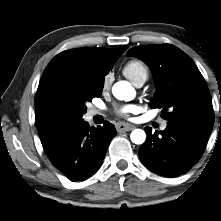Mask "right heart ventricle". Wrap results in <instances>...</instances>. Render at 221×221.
<instances>
[{
  "instance_id": "e07e8e85",
  "label": "right heart ventricle",
  "mask_w": 221,
  "mask_h": 221,
  "mask_svg": "<svg viewBox=\"0 0 221 221\" xmlns=\"http://www.w3.org/2000/svg\"><path fill=\"white\" fill-rule=\"evenodd\" d=\"M124 75L131 80L133 84L137 81L148 78L147 66L138 60H131L123 67Z\"/></svg>"
}]
</instances>
